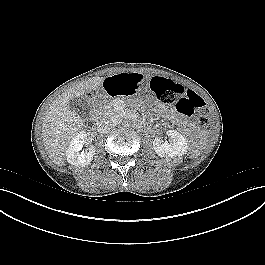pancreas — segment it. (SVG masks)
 I'll return each mask as SVG.
<instances>
[{
	"label": "pancreas",
	"instance_id": "1",
	"mask_svg": "<svg viewBox=\"0 0 265 265\" xmlns=\"http://www.w3.org/2000/svg\"><path fill=\"white\" fill-rule=\"evenodd\" d=\"M116 110L113 108V102L105 103L103 106L100 107V109L97 111V113L102 117H108L112 114H114Z\"/></svg>",
	"mask_w": 265,
	"mask_h": 265
}]
</instances>
